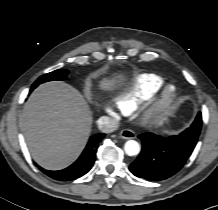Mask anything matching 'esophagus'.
<instances>
[{
  "label": "esophagus",
  "instance_id": "34e87169",
  "mask_svg": "<svg viewBox=\"0 0 218 210\" xmlns=\"http://www.w3.org/2000/svg\"><path fill=\"white\" fill-rule=\"evenodd\" d=\"M120 138L122 139H133L135 138V132L130 129H124L119 134Z\"/></svg>",
  "mask_w": 218,
  "mask_h": 210
}]
</instances>
